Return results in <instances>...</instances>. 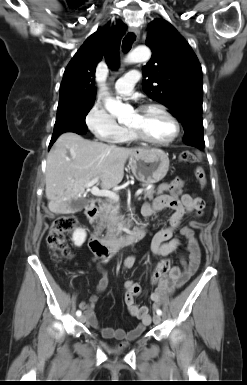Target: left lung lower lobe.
<instances>
[{"label": "left lung lower lobe", "instance_id": "obj_1", "mask_svg": "<svg viewBox=\"0 0 247 385\" xmlns=\"http://www.w3.org/2000/svg\"><path fill=\"white\" fill-rule=\"evenodd\" d=\"M184 141L190 146H194L200 149L204 148V137L203 131L201 130H191L185 133Z\"/></svg>", "mask_w": 247, "mask_h": 385}]
</instances>
